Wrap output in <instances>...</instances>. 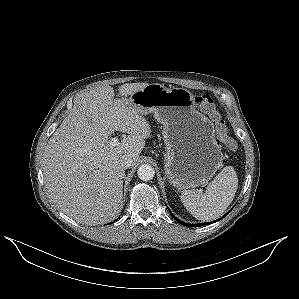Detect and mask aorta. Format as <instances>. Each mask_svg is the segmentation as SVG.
Here are the masks:
<instances>
[{"label": "aorta", "instance_id": "aorta-1", "mask_svg": "<svg viewBox=\"0 0 299 299\" xmlns=\"http://www.w3.org/2000/svg\"><path fill=\"white\" fill-rule=\"evenodd\" d=\"M138 177L143 181H149L153 179L155 171L149 164H142L137 170Z\"/></svg>", "mask_w": 299, "mask_h": 299}]
</instances>
